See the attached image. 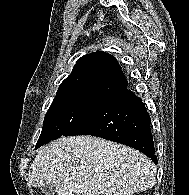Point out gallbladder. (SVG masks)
<instances>
[{"instance_id":"gallbladder-1","label":"gallbladder","mask_w":189,"mask_h":195,"mask_svg":"<svg viewBox=\"0 0 189 195\" xmlns=\"http://www.w3.org/2000/svg\"><path fill=\"white\" fill-rule=\"evenodd\" d=\"M41 191L44 195H55L56 189L52 185H46L41 188Z\"/></svg>"}]
</instances>
